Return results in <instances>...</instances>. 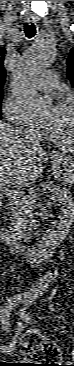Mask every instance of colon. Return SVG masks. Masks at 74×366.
Instances as JSON below:
<instances>
[{"label":"colon","mask_w":74,"mask_h":366,"mask_svg":"<svg viewBox=\"0 0 74 366\" xmlns=\"http://www.w3.org/2000/svg\"><path fill=\"white\" fill-rule=\"evenodd\" d=\"M65 225H62V230H65ZM24 355L28 359H47L50 362H55L58 356V348L51 342L40 337L36 332H28L22 339ZM43 365V364H41ZM51 366L53 364H44Z\"/></svg>","instance_id":"obj_1"}]
</instances>
